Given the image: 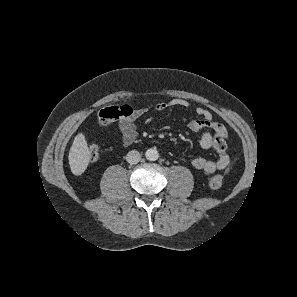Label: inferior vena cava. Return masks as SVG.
I'll return each mask as SVG.
<instances>
[{
  "instance_id": "602c4592",
  "label": "inferior vena cava",
  "mask_w": 297,
  "mask_h": 297,
  "mask_svg": "<svg viewBox=\"0 0 297 297\" xmlns=\"http://www.w3.org/2000/svg\"><path fill=\"white\" fill-rule=\"evenodd\" d=\"M141 155L136 150H131L126 155V160L129 164H136L140 161Z\"/></svg>"
}]
</instances>
